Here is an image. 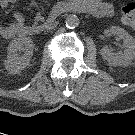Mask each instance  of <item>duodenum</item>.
<instances>
[{"instance_id": "duodenum-1", "label": "duodenum", "mask_w": 135, "mask_h": 135, "mask_svg": "<svg viewBox=\"0 0 135 135\" xmlns=\"http://www.w3.org/2000/svg\"><path fill=\"white\" fill-rule=\"evenodd\" d=\"M71 6L73 8H76L77 10L82 11V12H87L88 11V8H87L86 5H81V4L76 3V2H72ZM29 31H30L29 29H25L26 33H28ZM42 31H43V28H41V27H37L34 30H31V32H33L36 35L42 33Z\"/></svg>"}]
</instances>
